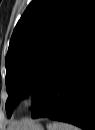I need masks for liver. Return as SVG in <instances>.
Wrapping results in <instances>:
<instances>
[{
    "instance_id": "1",
    "label": "liver",
    "mask_w": 95,
    "mask_h": 130,
    "mask_svg": "<svg viewBox=\"0 0 95 130\" xmlns=\"http://www.w3.org/2000/svg\"><path fill=\"white\" fill-rule=\"evenodd\" d=\"M26 123H28V122H26ZM26 123H23V124L16 123V124H14V126L9 127V130H12V129H20V128H22V126H23L24 124H26Z\"/></svg>"
}]
</instances>
